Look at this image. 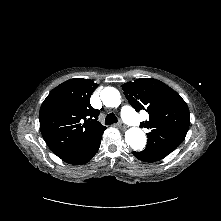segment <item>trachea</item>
Instances as JSON below:
<instances>
[{
    "label": "trachea",
    "instance_id": "obj_1",
    "mask_svg": "<svg viewBox=\"0 0 221 221\" xmlns=\"http://www.w3.org/2000/svg\"><path fill=\"white\" fill-rule=\"evenodd\" d=\"M117 117L114 115V114H112V113H110V114H108L107 116H106V118H105V124L106 125H110V124H113V123H117Z\"/></svg>",
    "mask_w": 221,
    "mask_h": 221
}]
</instances>
